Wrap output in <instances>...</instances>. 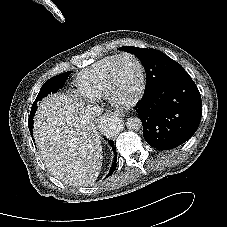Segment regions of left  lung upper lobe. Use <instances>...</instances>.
I'll return each mask as SVG.
<instances>
[{"label": "left lung upper lobe", "instance_id": "left-lung-upper-lobe-1", "mask_svg": "<svg viewBox=\"0 0 227 227\" xmlns=\"http://www.w3.org/2000/svg\"><path fill=\"white\" fill-rule=\"evenodd\" d=\"M119 50L135 54L146 71L145 90L174 75L184 73V68L176 61L156 49H143L133 46H123Z\"/></svg>", "mask_w": 227, "mask_h": 227}]
</instances>
